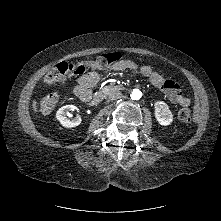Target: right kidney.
I'll use <instances>...</instances> for the list:
<instances>
[{"label": "right kidney", "instance_id": "1", "mask_svg": "<svg viewBox=\"0 0 221 221\" xmlns=\"http://www.w3.org/2000/svg\"><path fill=\"white\" fill-rule=\"evenodd\" d=\"M78 110V108L74 105H66L61 107L57 113L56 118L61 123L62 126L67 128L76 127L81 123V118L78 116L77 119L70 120L66 117V113L68 111Z\"/></svg>", "mask_w": 221, "mask_h": 221}]
</instances>
